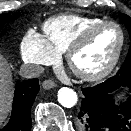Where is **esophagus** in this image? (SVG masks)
<instances>
[{
    "label": "esophagus",
    "mask_w": 131,
    "mask_h": 131,
    "mask_svg": "<svg viewBox=\"0 0 131 131\" xmlns=\"http://www.w3.org/2000/svg\"><path fill=\"white\" fill-rule=\"evenodd\" d=\"M42 87H43L44 89H51V88L56 87V83H55L53 80H45V81L42 83Z\"/></svg>",
    "instance_id": "34e87169"
}]
</instances>
